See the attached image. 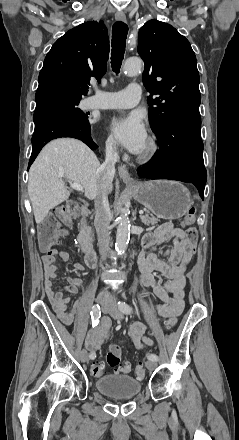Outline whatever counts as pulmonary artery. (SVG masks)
Returning a JSON list of instances; mask_svg holds the SVG:
<instances>
[{
  "mask_svg": "<svg viewBox=\"0 0 239 440\" xmlns=\"http://www.w3.org/2000/svg\"><path fill=\"white\" fill-rule=\"evenodd\" d=\"M141 96V87L131 84L119 92H104L96 90L94 96L85 100L86 109H115L131 108L138 104Z\"/></svg>",
  "mask_w": 239,
  "mask_h": 440,
  "instance_id": "obj_1",
  "label": "pulmonary artery"
}]
</instances>
